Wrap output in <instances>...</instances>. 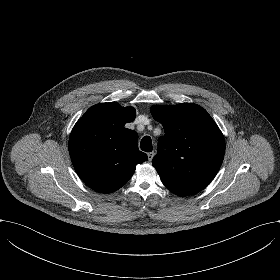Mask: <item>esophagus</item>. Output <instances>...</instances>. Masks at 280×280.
<instances>
[{
  "label": "esophagus",
  "instance_id": "1",
  "mask_svg": "<svg viewBox=\"0 0 280 280\" xmlns=\"http://www.w3.org/2000/svg\"><path fill=\"white\" fill-rule=\"evenodd\" d=\"M154 154H155L154 152H148V153H147V156H148V160H149V161H151V160L153 159Z\"/></svg>",
  "mask_w": 280,
  "mask_h": 280
}]
</instances>
